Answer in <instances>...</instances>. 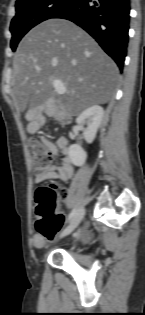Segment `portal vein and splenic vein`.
<instances>
[{
  "mask_svg": "<svg viewBox=\"0 0 145 315\" xmlns=\"http://www.w3.org/2000/svg\"><path fill=\"white\" fill-rule=\"evenodd\" d=\"M53 86L55 88V91L59 95H63L66 93V87L64 86V83L60 80H54Z\"/></svg>",
  "mask_w": 145,
  "mask_h": 315,
  "instance_id": "obj_1",
  "label": "portal vein and splenic vein"
}]
</instances>
